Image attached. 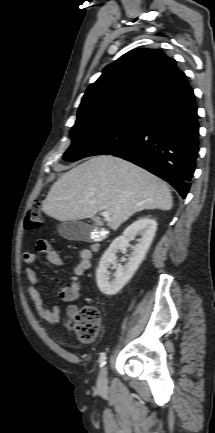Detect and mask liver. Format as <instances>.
<instances>
[{"label": "liver", "mask_w": 215, "mask_h": 433, "mask_svg": "<svg viewBox=\"0 0 215 433\" xmlns=\"http://www.w3.org/2000/svg\"><path fill=\"white\" fill-rule=\"evenodd\" d=\"M173 199L168 185L148 171L111 155H99L62 174L42 203L44 213L67 222L110 213L107 225L118 229L136 212L149 209L168 211Z\"/></svg>", "instance_id": "obj_1"}]
</instances>
